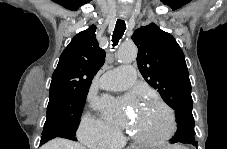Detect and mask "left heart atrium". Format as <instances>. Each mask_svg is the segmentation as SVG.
Here are the masks:
<instances>
[{
    "label": "left heart atrium",
    "mask_w": 227,
    "mask_h": 149,
    "mask_svg": "<svg viewBox=\"0 0 227 149\" xmlns=\"http://www.w3.org/2000/svg\"><path fill=\"white\" fill-rule=\"evenodd\" d=\"M111 104L112 101L106 97L100 98L96 102V106L100 109H107ZM112 119L120 125H125L127 123V119L123 116L112 117Z\"/></svg>",
    "instance_id": "1"
}]
</instances>
